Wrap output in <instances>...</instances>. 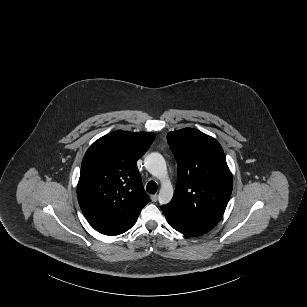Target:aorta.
Masks as SVG:
<instances>
[{
  "label": "aorta",
  "instance_id": "aorta-1",
  "mask_svg": "<svg viewBox=\"0 0 307 307\" xmlns=\"http://www.w3.org/2000/svg\"><path fill=\"white\" fill-rule=\"evenodd\" d=\"M145 169L154 176L163 179V186L158 195L160 205L170 203L173 197V188L166 176V163L163 155L159 152H151L144 158Z\"/></svg>",
  "mask_w": 307,
  "mask_h": 307
}]
</instances>
